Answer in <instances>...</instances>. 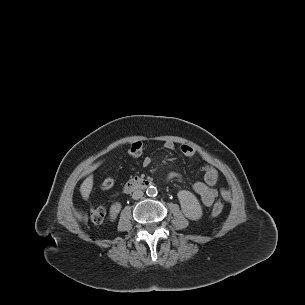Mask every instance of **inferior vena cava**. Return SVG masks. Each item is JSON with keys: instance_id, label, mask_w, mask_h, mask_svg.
Segmentation results:
<instances>
[{"instance_id": "inferior-vena-cava-1", "label": "inferior vena cava", "mask_w": 305, "mask_h": 305, "mask_svg": "<svg viewBox=\"0 0 305 305\" xmlns=\"http://www.w3.org/2000/svg\"><path fill=\"white\" fill-rule=\"evenodd\" d=\"M143 195H144L143 191H141V190H135V191L133 192V194H132V198H133L134 200H138V199L142 198Z\"/></svg>"}]
</instances>
